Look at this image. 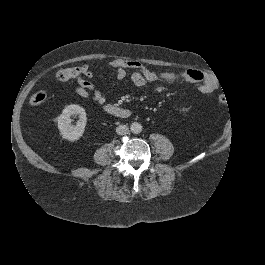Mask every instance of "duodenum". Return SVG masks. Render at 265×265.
<instances>
[{
    "mask_svg": "<svg viewBox=\"0 0 265 265\" xmlns=\"http://www.w3.org/2000/svg\"><path fill=\"white\" fill-rule=\"evenodd\" d=\"M106 112L120 118H127L131 115V111L118 106L107 104L104 106Z\"/></svg>",
    "mask_w": 265,
    "mask_h": 265,
    "instance_id": "1",
    "label": "duodenum"
}]
</instances>
